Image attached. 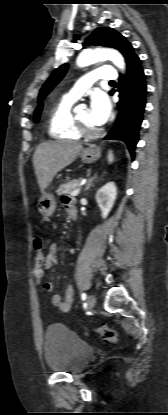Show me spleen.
<instances>
[{
	"instance_id": "1",
	"label": "spleen",
	"mask_w": 168,
	"mask_h": 415,
	"mask_svg": "<svg viewBox=\"0 0 168 415\" xmlns=\"http://www.w3.org/2000/svg\"><path fill=\"white\" fill-rule=\"evenodd\" d=\"M108 161L109 163H112L114 161V156L111 150L108 153Z\"/></svg>"
}]
</instances>
